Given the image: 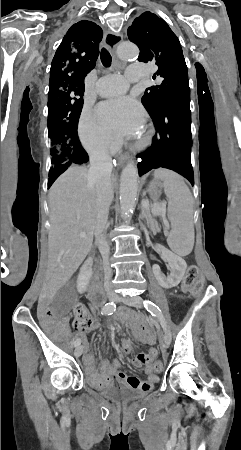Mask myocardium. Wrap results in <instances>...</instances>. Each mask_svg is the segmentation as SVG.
Instances as JSON below:
<instances>
[{
  "label": "myocardium",
  "mask_w": 241,
  "mask_h": 450,
  "mask_svg": "<svg viewBox=\"0 0 241 450\" xmlns=\"http://www.w3.org/2000/svg\"><path fill=\"white\" fill-rule=\"evenodd\" d=\"M152 132L150 131V130H147L146 132H142V142H147V140H149V139H147V137H150V134H151ZM149 148V145L148 144H141V149H148ZM146 151V150H145Z\"/></svg>",
  "instance_id": "myocardium-1"
}]
</instances>
